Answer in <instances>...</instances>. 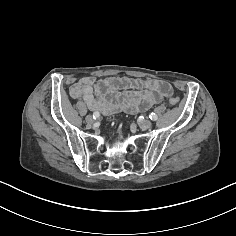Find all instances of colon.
<instances>
[{"label":"colon","instance_id":"5ec220e1","mask_svg":"<svg viewBox=\"0 0 236 236\" xmlns=\"http://www.w3.org/2000/svg\"><path fill=\"white\" fill-rule=\"evenodd\" d=\"M179 102H180V99H179V97H177V96H174V97L170 98V100H169V103H170V105H172V106L178 105Z\"/></svg>","mask_w":236,"mask_h":236}]
</instances>
